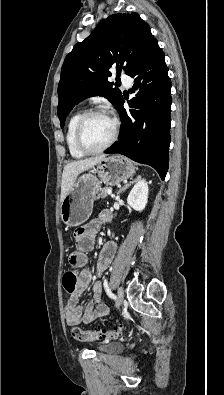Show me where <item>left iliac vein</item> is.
<instances>
[{
    "label": "left iliac vein",
    "mask_w": 224,
    "mask_h": 395,
    "mask_svg": "<svg viewBox=\"0 0 224 395\" xmlns=\"http://www.w3.org/2000/svg\"><path fill=\"white\" fill-rule=\"evenodd\" d=\"M123 301H124V290H123L122 287H119L118 291H117V304H116V307L119 308L123 304Z\"/></svg>",
    "instance_id": "1"
}]
</instances>
